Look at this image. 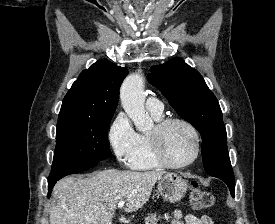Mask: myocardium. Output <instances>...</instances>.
Segmentation results:
<instances>
[{"mask_svg":"<svg viewBox=\"0 0 275 224\" xmlns=\"http://www.w3.org/2000/svg\"><path fill=\"white\" fill-rule=\"evenodd\" d=\"M180 123L186 126L192 133L195 143V150L192 158L184 163H173L171 162L164 152L162 143V135L165 129L173 124ZM148 144L152 156L156 163L161 167L170 169H183L189 167L199 158L201 153V138L197 128L187 119L177 116L165 117L156 122L153 129L147 134Z\"/></svg>","mask_w":275,"mask_h":224,"instance_id":"myocardium-1","label":"myocardium"}]
</instances>
